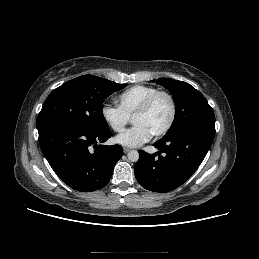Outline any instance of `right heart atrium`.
<instances>
[{
  "instance_id": "d8ad5b80",
  "label": "right heart atrium",
  "mask_w": 259,
  "mask_h": 259,
  "mask_svg": "<svg viewBox=\"0 0 259 259\" xmlns=\"http://www.w3.org/2000/svg\"><path fill=\"white\" fill-rule=\"evenodd\" d=\"M101 116L104 122L115 132H122L129 122V117L126 116L119 107L105 104L101 108Z\"/></svg>"
}]
</instances>
